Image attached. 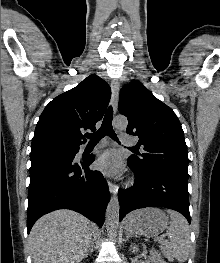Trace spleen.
I'll return each instance as SVG.
<instances>
[{"instance_id":"spleen-1","label":"spleen","mask_w":220,"mask_h":263,"mask_svg":"<svg viewBox=\"0 0 220 263\" xmlns=\"http://www.w3.org/2000/svg\"><path fill=\"white\" fill-rule=\"evenodd\" d=\"M170 215V225L167 235L170 240L168 253L179 262H185L190 250V232L187 220L178 212L167 210Z\"/></svg>"}]
</instances>
